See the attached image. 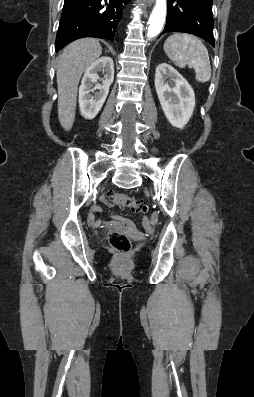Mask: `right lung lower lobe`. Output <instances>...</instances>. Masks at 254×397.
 <instances>
[{
  "instance_id": "right-lung-lower-lobe-1",
  "label": "right lung lower lobe",
  "mask_w": 254,
  "mask_h": 397,
  "mask_svg": "<svg viewBox=\"0 0 254 397\" xmlns=\"http://www.w3.org/2000/svg\"><path fill=\"white\" fill-rule=\"evenodd\" d=\"M106 1L65 0L55 51L58 52L68 43L83 37L114 40L123 16V4L130 0Z\"/></svg>"
}]
</instances>
